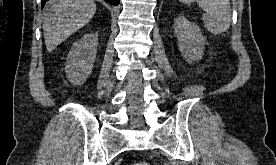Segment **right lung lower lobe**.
<instances>
[{"label":"right lung lower lobe","mask_w":276,"mask_h":165,"mask_svg":"<svg viewBox=\"0 0 276 165\" xmlns=\"http://www.w3.org/2000/svg\"><path fill=\"white\" fill-rule=\"evenodd\" d=\"M48 0H42V7ZM106 2L112 4V5H118L120 3V0H105Z\"/></svg>","instance_id":"98d812e1"}]
</instances>
